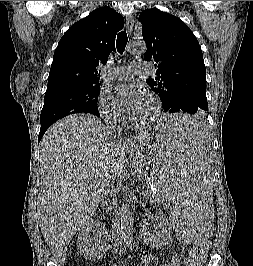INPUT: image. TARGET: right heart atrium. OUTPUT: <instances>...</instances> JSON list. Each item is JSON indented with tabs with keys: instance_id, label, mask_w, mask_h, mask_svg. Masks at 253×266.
I'll use <instances>...</instances> for the list:
<instances>
[{
	"instance_id": "obj_1",
	"label": "right heart atrium",
	"mask_w": 253,
	"mask_h": 266,
	"mask_svg": "<svg viewBox=\"0 0 253 266\" xmlns=\"http://www.w3.org/2000/svg\"><path fill=\"white\" fill-rule=\"evenodd\" d=\"M98 108L103 119L107 122H121L124 119L122 111L108 92H101Z\"/></svg>"
}]
</instances>
